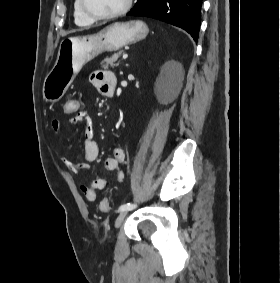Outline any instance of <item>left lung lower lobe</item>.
<instances>
[{"mask_svg":"<svg viewBox=\"0 0 280 283\" xmlns=\"http://www.w3.org/2000/svg\"><path fill=\"white\" fill-rule=\"evenodd\" d=\"M202 0H138L127 14L162 20L187 31L198 40Z\"/></svg>","mask_w":280,"mask_h":283,"instance_id":"obj_1","label":"left lung lower lobe"}]
</instances>
